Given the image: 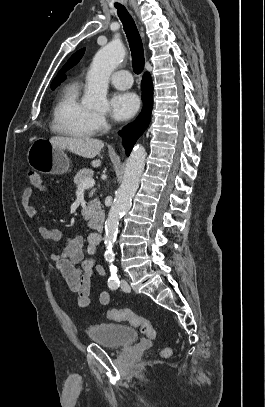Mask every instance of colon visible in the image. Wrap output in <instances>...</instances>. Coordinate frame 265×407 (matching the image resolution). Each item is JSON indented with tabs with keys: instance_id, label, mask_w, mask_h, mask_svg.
I'll return each mask as SVG.
<instances>
[{
	"instance_id": "1",
	"label": "colon",
	"mask_w": 265,
	"mask_h": 407,
	"mask_svg": "<svg viewBox=\"0 0 265 407\" xmlns=\"http://www.w3.org/2000/svg\"><path fill=\"white\" fill-rule=\"evenodd\" d=\"M29 182L32 189L43 190L44 183L40 174L35 171L28 172ZM108 319L116 322H128L134 327L140 328L141 332L148 338L153 339L156 336V330L153 323L128 309H111L107 313ZM170 348H164L161 351L163 357L171 355Z\"/></svg>"
}]
</instances>
